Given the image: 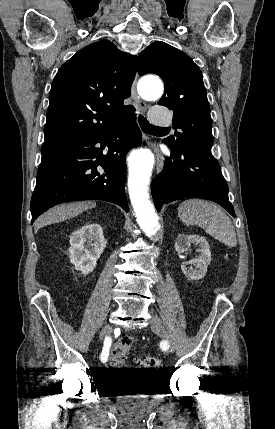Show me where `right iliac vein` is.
I'll return each mask as SVG.
<instances>
[{
  "mask_svg": "<svg viewBox=\"0 0 275 429\" xmlns=\"http://www.w3.org/2000/svg\"><path fill=\"white\" fill-rule=\"evenodd\" d=\"M111 332H112V326L109 324L105 325L100 332V339L107 337Z\"/></svg>",
  "mask_w": 275,
  "mask_h": 429,
  "instance_id": "63e3f726",
  "label": "right iliac vein"
}]
</instances>
